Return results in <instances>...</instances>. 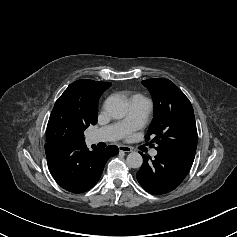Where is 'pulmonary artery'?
Segmentation results:
<instances>
[{"instance_id":"1","label":"pulmonary artery","mask_w":237,"mask_h":237,"mask_svg":"<svg viewBox=\"0 0 237 237\" xmlns=\"http://www.w3.org/2000/svg\"><path fill=\"white\" fill-rule=\"evenodd\" d=\"M150 110L149 100L140 95L133 96L129 100V111L125 119L93 131L89 138L93 143L119 140L127 133L142 128ZM151 154L157 155V150H152Z\"/></svg>"}]
</instances>
